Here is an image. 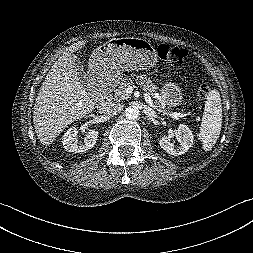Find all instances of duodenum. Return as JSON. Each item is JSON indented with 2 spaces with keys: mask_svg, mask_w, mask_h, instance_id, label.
Returning a JSON list of instances; mask_svg holds the SVG:
<instances>
[{
  "mask_svg": "<svg viewBox=\"0 0 253 253\" xmlns=\"http://www.w3.org/2000/svg\"><path fill=\"white\" fill-rule=\"evenodd\" d=\"M110 101H111V93L107 88H104L100 92V97H99L100 108L104 109L105 107H107V105L110 103Z\"/></svg>",
  "mask_w": 253,
  "mask_h": 253,
  "instance_id": "obj_1",
  "label": "duodenum"
}]
</instances>
